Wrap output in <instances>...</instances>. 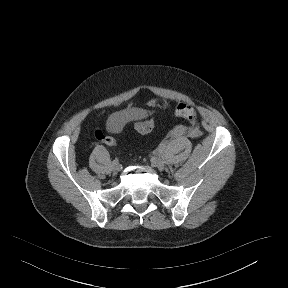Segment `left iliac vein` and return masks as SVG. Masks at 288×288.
Listing matches in <instances>:
<instances>
[{
  "label": "left iliac vein",
  "mask_w": 288,
  "mask_h": 288,
  "mask_svg": "<svg viewBox=\"0 0 288 288\" xmlns=\"http://www.w3.org/2000/svg\"><path fill=\"white\" fill-rule=\"evenodd\" d=\"M151 166L158 169V170H163L164 169V161L159 157H152L151 158Z\"/></svg>",
  "instance_id": "left-iliac-vein-1"
}]
</instances>
